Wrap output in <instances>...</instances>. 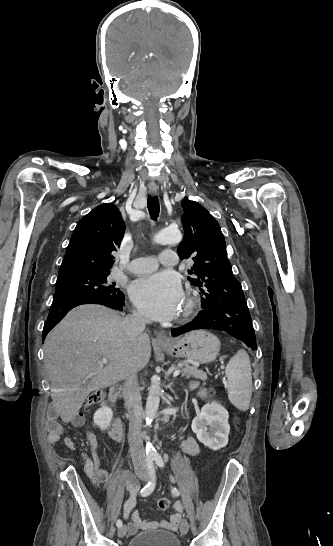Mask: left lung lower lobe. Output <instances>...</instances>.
Segmentation results:
<instances>
[{"mask_svg":"<svg viewBox=\"0 0 333 546\" xmlns=\"http://www.w3.org/2000/svg\"><path fill=\"white\" fill-rule=\"evenodd\" d=\"M201 304L202 311L198 316L192 322L173 329L172 336L176 337L191 330L214 329L227 332L253 350L257 349L255 331L246 301L223 303L209 297L201 299Z\"/></svg>","mask_w":333,"mask_h":546,"instance_id":"left-lung-lower-lobe-1","label":"left lung lower lobe"}]
</instances>
